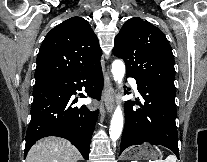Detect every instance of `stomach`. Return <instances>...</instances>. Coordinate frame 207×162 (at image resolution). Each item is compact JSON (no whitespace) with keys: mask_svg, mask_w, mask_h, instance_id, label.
<instances>
[{"mask_svg":"<svg viewBox=\"0 0 207 162\" xmlns=\"http://www.w3.org/2000/svg\"><path fill=\"white\" fill-rule=\"evenodd\" d=\"M162 154L158 147L144 143L127 150L123 156L125 160H158Z\"/></svg>","mask_w":207,"mask_h":162,"instance_id":"stomach-1","label":"stomach"}]
</instances>
